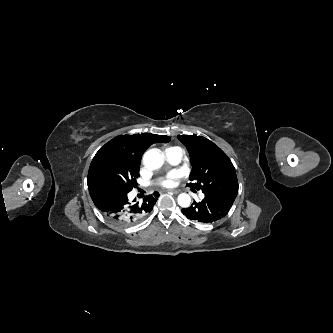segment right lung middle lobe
Returning <instances> with one entry per match:
<instances>
[{
	"label": "right lung middle lobe",
	"mask_w": 333,
	"mask_h": 333,
	"mask_svg": "<svg viewBox=\"0 0 333 333\" xmlns=\"http://www.w3.org/2000/svg\"><path fill=\"white\" fill-rule=\"evenodd\" d=\"M140 165L112 150H99L94 156L88 172V185L103 183L131 191L139 177Z\"/></svg>",
	"instance_id": "obj_1"
}]
</instances>
